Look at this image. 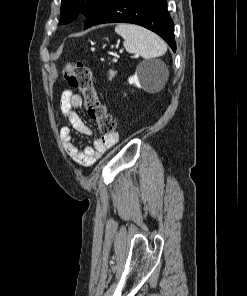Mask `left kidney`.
Listing matches in <instances>:
<instances>
[{"label": "left kidney", "mask_w": 247, "mask_h": 296, "mask_svg": "<svg viewBox=\"0 0 247 296\" xmlns=\"http://www.w3.org/2000/svg\"><path fill=\"white\" fill-rule=\"evenodd\" d=\"M129 83L135 87L145 89L148 85V76L142 68H138L135 75L129 78Z\"/></svg>", "instance_id": "obj_1"}]
</instances>
